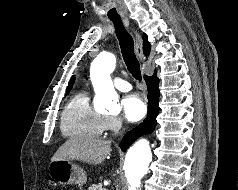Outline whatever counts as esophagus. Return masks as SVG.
<instances>
[{
    "label": "esophagus",
    "mask_w": 238,
    "mask_h": 190,
    "mask_svg": "<svg viewBox=\"0 0 238 190\" xmlns=\"http://www.w3.org/2000/svg\"><path fill=\"white\" fill-rule=\"evenodd\" d=\"M135 37H136V44H135L136 55L141 62H144L145 56H144L143 50H142V38L139 35V33H137V31H135Z\"/></svg>",
    "instance_id": "obj_1"
}]
</instances>
